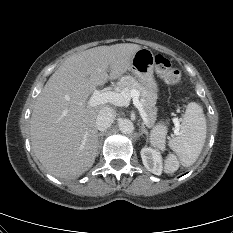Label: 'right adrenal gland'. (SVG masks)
<instances>
[{"label":"right adrenal gland","instance_id":"obj_1","mask_svg":"<svg viewBox=\"0 0 233 233\" xmlns=\"http://www.w3.org/2000/svg\"><path fill=\"white\" fill-rule=\"evenodd\" d=\"M104 134H105V131L100 132V133L98 134V136H99V143L102 142Z\"/></svg>","mask_w":233,"mask_h":233}]
</instances>
